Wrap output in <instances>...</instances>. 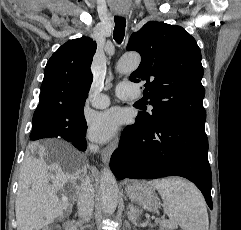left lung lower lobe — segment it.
<instances>
[{
  "instance_id": "left-lung-lower-lobe-1",
  "label": "left lung lower lobe",
  "mask_w": 241,
  "mask_h": 230,
  "mask_svg": "<svg viewBox=\"0 0 241 230\" xmlns=\"http://www.w3.org/2000/svg\"><path fill=\"white\" fill-rule=\"evenodd\" d=\"M204 124L165 117L155 126H127L110 159L118 179L181 176L192 181L212 209V175Z\"/></svg>"
}]
</instances>
